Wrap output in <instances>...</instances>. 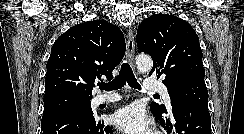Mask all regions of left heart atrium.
I'll list each match as a JSON object with an SVG mask.
<instances>
[{
    "label": "left heart atrium",
    "instance_id": "39dd6f15",
    "mask_svg": "<svg viewBox=\"0 0 244 134\" xmlns=\"http://www.w3.org/2000/svg\"><path fill=\"white\" fill-rule=\"evenodd\" d=\"M114 125L125 134H152L151 121L136 104L123 107L112 117Z\"/></svg>",
    "mask_w": 244,
    "mask_h": 134
}]
</instances>
